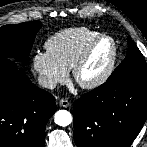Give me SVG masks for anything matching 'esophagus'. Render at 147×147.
Returning <instances> with one entry per match:
<instances>
[{"mask_svg": "<svg viewBox=\"0 0 147 147\" xmlns=\"http://www.w3.org/2000/svg\"><path fill=\"white\" fill-rule=\"evenodd\" d=\"M61 107L67 108L70 106V102L67 99H61L59 101Z\"/></svg>", "mask_w": 147, "mask_h": 147, "instance_id": "obj_1", "label": "esophagus"}]
</instances>
